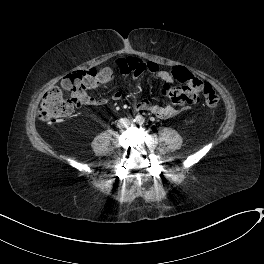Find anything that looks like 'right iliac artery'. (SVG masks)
Here are the masks:
<instances>
[{
	"label": "right iliac artery",
	"mask_w": 264,
	"mask_h": 264,
	"mask_svg": "<svg viewBox=\"0 0 264 264\" xmlns=\"http://www.w3.org/2000/svg\"><path fill=\"white\" fill-rule=\"evenodd\" d=\"M136 121H137V119H133V120H132V123H135Z\"/></svg>",
	"instance_id": "82829eb1"
}]
</instances>
